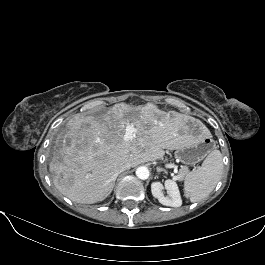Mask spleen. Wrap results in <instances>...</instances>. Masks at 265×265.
<instances>
[{"label": "spleen", "mask_w": 265, "mask_h": 265, "mask_svg": "<svg viewBox=\"0 0 265 265\" xmlns=\"http://www.w3.org/2000/svg\"><path fill=\"white\" fill-rule=\"evenodd\" d=\"M222 172V154L219 150H214L208 154L198 169L186 174L184 180L185 196L191 202L204 199L214 190Z\"/></svg>", "instance_id": "1"}]
</instances>
